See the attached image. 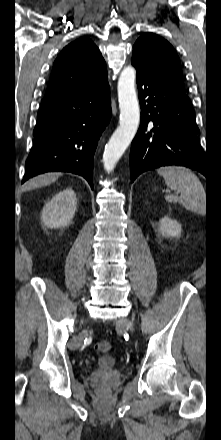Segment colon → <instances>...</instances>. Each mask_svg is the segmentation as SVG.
I'll return each instance as SVG.
<instances>
[{"mask_svg": "<svg viewBox=\"0 0 221 440\" xmlns=\"http://www.w3.org/2000/svg\"><path fill=\"white\" fill-rule=\"evenodd\" d=\"M95 349H96L98 352L105 353V352L110 351V349H111V344H110L108 341H101V342H98V343L95 345Z\"/></svg>", "mask_w": 221, "mask_h": 440, "instance_id": "colon-1", "label": "colon"}]
</instances>
